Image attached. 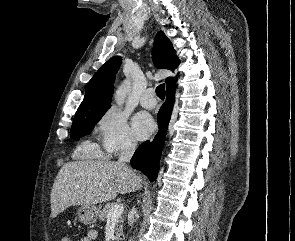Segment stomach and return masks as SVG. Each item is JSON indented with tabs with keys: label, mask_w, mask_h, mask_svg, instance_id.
Here are the masks:
<instances>
[{
	"label": "stomach",
	"mask_w": 295,
	"mask_h": 241,
	"mask_svg": "<svg viewBox=\"0 0 295 241\" xmlns=\"http://www.w3.org/2000/svg\"><path fill=\"white\" fill-rule=\"evenodd\" d=\"M101 213V207L97 205H82L78 211V219L85 225L96 222Z\"/></svg>",
	"instance_id": "0dacf381"
}]
</instances>
